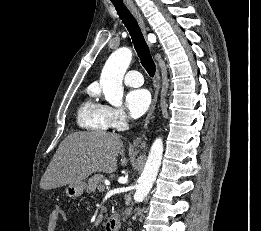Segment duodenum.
<instances>
[{"label":"duodenum","mask_w":261,"mask_h":231,"mask_svg":"<svg viewBox=\"0 0 261 231\" xmlns=\"http://www.w3.org/2000/svg\"><path fill=\"white\" fill-rule=\"evenodd\" d=\"M121 224V217L118 214L111 215L105 222L107 231H118Z\"/></svg>","instance_id":"1"}]
</instances>
